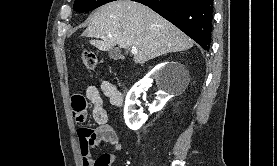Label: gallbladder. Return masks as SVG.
Masks as SVG:
<instances>
[{
    "instance_id": "bac80fb5",
    "label": "gallbladder",
    "mask_w": 277,
    "mask_h": 166,
    "mask_svg": "<svg viewBox=\"0 0 277 166\" xmlns=\"http://www.w3.org/2000/svg\"><path fill=\"white\" fill-rule=\"evenodd\" d=\"M109 57L113 60H118V59H121L122 58V55L120 53V51L116 48H112L110 51H109Z\"/></svg>"
}]
</instances>
